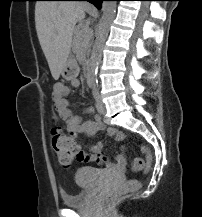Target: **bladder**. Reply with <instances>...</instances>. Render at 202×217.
Returning <instances> with one entry per match:
<instances>
[{
    "label": "bladder",
    "mask_w": 202,
    "mask_h": 217,
    "mask_svg": "<svg viewBox=\"0 0 202 217\" xmlns=\"http://www.w3.org/2000/svg\"><path fill=\"white\" fill-rule=\"evenodd\" d=\"M105 172L92 167H81L75 173V182L79 187L77 194H62V203L66 206L77 207L89 203L93 197V189Z\"/></svg>",
    "instance_id": "bladder-1"
}]
</instances>
